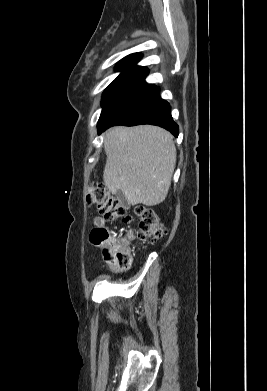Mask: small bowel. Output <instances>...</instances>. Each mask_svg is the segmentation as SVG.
I'll list each match as a JSON object with an SVG mask.
<instances>
[{
	"mask_svg": "<svg viewBox=\"0 0 267 391\" xmlns=\"http://www.w3.org/2000/svg\"><path fill=\"white\" fill-rule=\"evenodd\" d=\"M95 224H96L97 227H101L102 226V220L101 219H96L95 220ZM106 268L109 269L112 272H116L117 271V267L114 264H111V263H108Z\"/></svg>",
	"mask_w": 267,
	"mask_h": 391,
	"instance_id": "obj_1",
	"label": "small bowel"
}]
</instances>
